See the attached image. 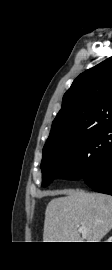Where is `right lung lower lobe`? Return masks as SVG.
<instances>
[{
	"label": "right lung lower lobe",
	"instance_id": "obj_1",
	"mask_svg": "<svg viewBox=\"0 0 112 270\" xmlns=\"http://www.w3.org/2000/svg\"><path fill=\"white\" fill-rule=\"evenodd\" d=\"M83 179L94 191L112 195V146L105 153L99 167Z\"/></svg>",
	"mask_w": 112,
	"mask_h": 270
}]
</instances>
